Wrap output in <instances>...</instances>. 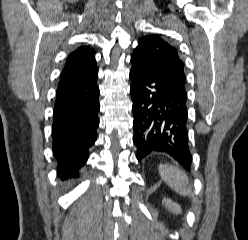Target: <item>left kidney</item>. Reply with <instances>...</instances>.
Here are the masks:
<instances>
[{"label": "left kidney", "mask_w": 248, "mask_h": 240, "mask_svg": "<svg viewBox=\"0 0 248 240\" xmlns=\"http://www.w3.org/2000/svg\"><path fill=\"white\" fill-rule=\"evenodd\" d=\"M162 203L165 206V208L171 211L172 213L180 214L182 211L181 207L177 203L173 202L168 198H163Z\"/></svg>", "instance_id": "1"}]
</instances>
